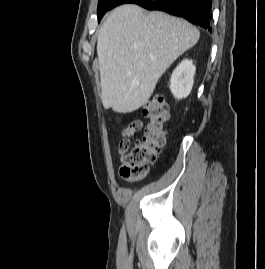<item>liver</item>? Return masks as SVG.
<instances>
[{
    "label": "liver",
    "instance_id": "liver-1",
    "mask_svg": "<svg viewBox=\"0 0 265 269\" xmlns=\"http://www.w3.org/2000/svg\"><path fill=\"white\" fill-rule=\"evenodd\" d=\"M199 37L189 22L163 12L134 4L114 9L97 40L103 107L130 113L145 105L166 69Z\"/></svg>",
    "mask_w": 265,
    "mask_h": 269
}]
</instances>
